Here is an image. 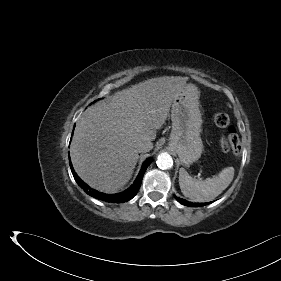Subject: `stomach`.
Here are the masks:
<instances>
[{"label":"stomach","instance_id":"1","mask_svg":"<svg viewBox=\"0 0 281 281\" xmlns=\"http://www.w3.org/2000/svg\"><path fill=\"white\" fill-rule=\"evenodd\" d=\"M171 120L169 149L178 155L183 165L189 166L196 162L203 152L199 90L195 85L185 84L177 93L172 102Z\"/></svg>","mask_w":281,"mask_h":281}]
</instances>
